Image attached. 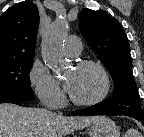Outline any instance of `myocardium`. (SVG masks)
<instances>
[{
  "label": "myocardium",
  "mask_w": 144,
  "mask_h": 137,
  "mask_svg": "<svg viewBox=\"0 0 144 137\" xmlns=\"http://www.w3.org/2000/svg\"><path fill=\"white\" fill-rule=\"evenodd\" d=\"M85 67H92L101 74V76L103 78V89L97 97H95L91 100H78L75 97H73L70 92H69V99L74 105L82 106V107H91V106H95V105L101 103L102 101H104L107 98L110 88H111V79H110V75H109L107 69L105 68V66L98 61L81 60V61H78L75 65V68H77V69H81V68H85Z\"/></svg>",
  "instance_id": "1"
}]
</instances>
